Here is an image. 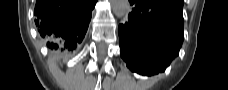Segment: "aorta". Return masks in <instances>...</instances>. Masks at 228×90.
<instances>
[{"label": "aorta", "mask_w": 228, "mask_h": 90, "mask_svg": "<svg viewBox=\"0 0 228 90\" xmlns=\"http://www.w3.org/2000/svg\"><path fill=\"white\" fill-rule=\"evenodd\" d=\"M112 11L118 18H125L128 16L131 8L128 0H111Z\"/></svg>", "instance_id": "aorta-1"}]
</instances>
